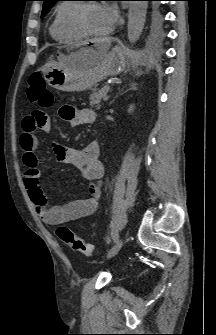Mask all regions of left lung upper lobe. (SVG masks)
<instances>
[{"label": "left lung upper lobe", "instance_id": "5c2ea615", "mask_svg": "<svg viewBox=\"0 0 216 335\" xmlns=\"http://www.w3.org/2000/svg\"><path fill=\"white\" fill-rule=\"evenodd\" d=\"M41 1L44 2L41 13V17L43 18L54 6V4L59 0H41ZM148 1H153L148 11L150 28L154 33H159L161 31L162 26V14L160 12L159 5L156 3V1L160 0H148Z\"/></svg>", "mask_w": 216, "mask_h": 335}]
</instances>
